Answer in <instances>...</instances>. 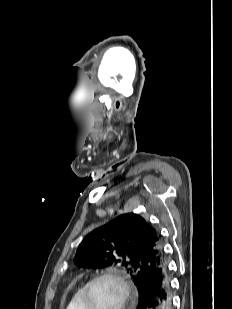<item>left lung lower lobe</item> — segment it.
Returning <instances> with one entry per match:
<instances>
[{
	"instance_id": "1",
	"label": "left lung lower lobe",
	"mask_w": 232,
	"mask_h": 309,
	"mask_svg": "<svg viewBox=\"0 0 232 309\" xmlns=\"http://www.w3.org/2000/svg\"><path fill=\"white\" fill-rule=\"evenodd\" d=\"M137 309H172L171 281L166 261L148 274L139 292Z\"/></svg>"
}]
</instances>
